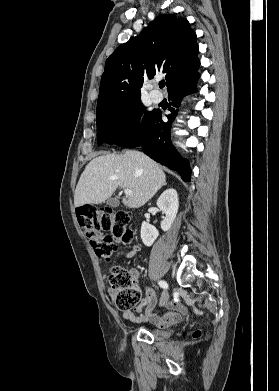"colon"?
I'll return each mask as SVG.
<instances>
[{"instance_id":"colon-1","label":"colon","mask_w":279,"mask_h":391,"mask_svg":"<svg viewBox=\"0 0 279 391\" xmlns=\"http://www.w3.org/2000/svg\"><path fill=\"white\" fill-rule=\"evenodd\" d=\"M77 218L96 256L104 261L111 260L117 250V242L127 243L133 239L131 218L125 211H113L111 208L98 210L87 206L77 212ZM109 283L119 309L129 311L139 304L141 290L131 273L124 268L113 267ZM194 336H199V332H195Z\"/></svg>"}]
</instances>
